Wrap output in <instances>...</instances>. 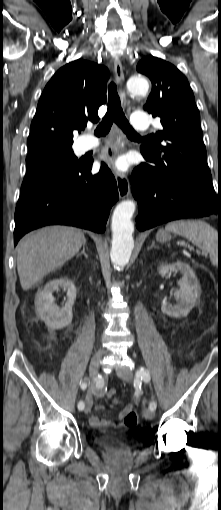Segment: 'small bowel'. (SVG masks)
<instances>
[{
	"mask_svg": "<svg viewBox=\"0 0 221 510\" xmlns=\"http://www.w3.org/2000/svg\"><path fill=\"white\" fill-rule=\"evenodd\" d=\"M95 394L97 396H102L103 395V389L98 386L95 390H94ZM104 409V406L101 405V404H97L95 406V413L92 414L89 418V423L92 427L98 429V430H101L103 432H108V431H112L114 429H123L125 427H128L126 426L125 424H116L115 422L111 421V420H108V419H101L97 413L103 411ZM132 410V407L131 406H126L123 410L120 411L118 417L119 419H123L124 417H126V415Z\"/></svg>",
	"mask_w": 221,
	"mask_h": 510,
	"instance_id": "small-bowel-1",
	"label": "small bowel"
}]
</instances>
